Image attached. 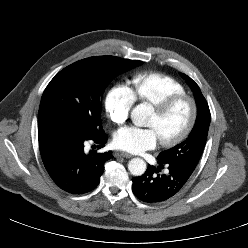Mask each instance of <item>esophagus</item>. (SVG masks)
Here are the masks:
<instances>
[{
	"mask_svg": "<svg viewBox=\"0 0 248 248\" xmlns=\"http://www.w3.org/2000/svg\"><path fill=\"white\" fill-rule=\"evenodd\" d=\"M115 157H124V158H131L132 155L126 152H115L114 153Z\"/></svg>",
	"mask_w": 248,
	"mask_h": 248,
	"instance_id": "34e87169",
	"label": "esophagus"
}]
</instances>
